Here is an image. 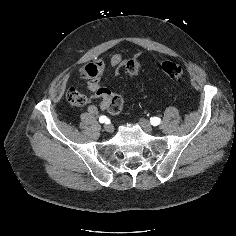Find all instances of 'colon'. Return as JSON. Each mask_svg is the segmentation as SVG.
<instances>
[{"instance_id":"obj_1","label":"colon","mask_w":236,"mask_h":236,"mask_svg":"<svg viewBox=\"0 0 236 236\" xmlns=\"http://www.w3.org/2000/svg\"><path fill=\"white\" fill-rule=\"evenodd\" d=\"M162 71L163 73L169 77L172 81L176 83H181L184 80V71L180 64L165 61L162 64ZM142 69V63L138 59H131L128 61L126 65V72L129 75H137ZM67 100L68 102L74 107H82L87 104L88 100L87 97L78 91L75 88H70L67 92ZM123 97L121 95H114L109 104H108V111L111 114H118L121 112L123 108Z\"/></svg>"}]
</instances>
